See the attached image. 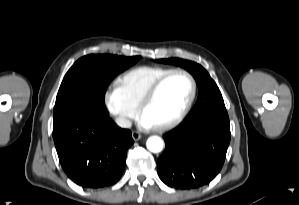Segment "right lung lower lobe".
<instances>
[{"instance_id":"obj_1","label":"right lung lower lobe","mask_w":299,"mask_h":205,"mask_svg":"<svg viewBox=\"0 0 299 205\" xmlns=\"http://www.w3.org/2000/svg\"><path fill=\"white\" fill-rule=\"evenodd\" d=\"M53 139L67 176L84 188L114 185L134 143L130 130L119 128L106 110L83 107L53 125Z\"/></svg>"}]
</instances>
